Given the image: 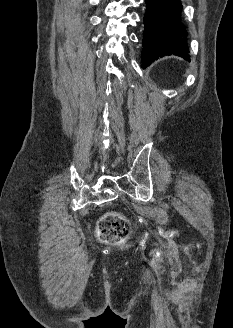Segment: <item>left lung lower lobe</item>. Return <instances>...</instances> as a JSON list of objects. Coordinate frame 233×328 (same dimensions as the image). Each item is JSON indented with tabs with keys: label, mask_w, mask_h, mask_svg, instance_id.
Returning a JSON list of instances; mask_svg holds the SVG:
<instances>
[{
	"label": "left lung lower lobe",
	"mask_w": 233,
	"mask_h": 328,
	"mask_svg": "<svg viewBox=\"0 0 233 328\" xmlns=\"http://www.w3.org/2000/svg\"><path fill=\"white\" fill-rule=\"evenodd\" d=\"M147 11L144 17V39L142 50V67L152 61L174 54L190 60L183 42L186 35L184 25L180 22L182 5L180 0H145Z\"/></svg>",
	"instance_id": "0a47b994"
}]
</instances>
